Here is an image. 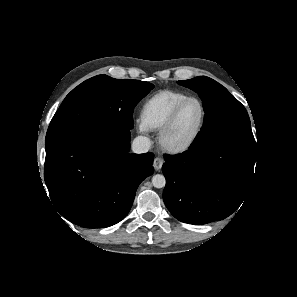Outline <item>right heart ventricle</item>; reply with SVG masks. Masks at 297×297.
Listing matches in <instances>:
<instances>
[{
    "label": "right heart ventricle",
    "instance_id": "1",
    "mask_svg": "<svg viewBox=\"0 0 297 297\" xmlns=\"http://www.w3.org/2000/svg\"><path fill=\"white\" fill-rule=\"evenodd\" d=\"M189 96L176 90H162L150 96L140 110V122L147 130H160L173 109Z\"/></svg>",
    "mask_w": 297,
    "mask_h": 297
}]
</instances>
